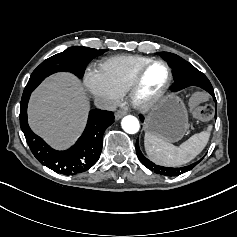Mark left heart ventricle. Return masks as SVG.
Masks as SVG:
<instances>
[{"label": "left heart ventricle", "instance_id": "left-heart-ventricle-1", "mask_svg": "<svg viewBox=\"0 0 237 237\" xmlns=\"http://www.w3.org/2000/svg\"><path fill=\"white\" fill-rule=\"evenodd\" d=\"M167 72L164 66L155 64L145 73L143 85L140 91V97H148L158 91L164 84Z\"/></svg>", "mask_w": 237, "mask_h": 237}]
</instances>
